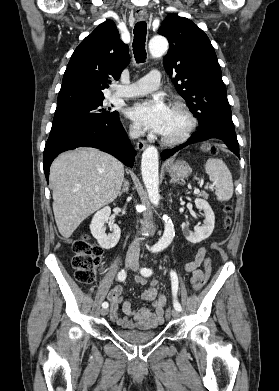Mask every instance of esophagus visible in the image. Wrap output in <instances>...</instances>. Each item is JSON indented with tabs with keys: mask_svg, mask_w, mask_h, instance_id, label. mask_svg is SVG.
Segmentation results:
<instances>
[{
	"mask_svg": "<svg viewBox=\"0 0 279 391\" xmlns=\"http://www.w3.org/2000/svg\"><path fill=\"white\" fill-rule=\"evenodd\" d=\"M144 18V16H140V19H143ZM147 146V144H146V142L145 141H143V140H139L138 142H137V148H138V150H140V151H142V150H144V148Z\"/></svg>",
	"mask_w": 279,
	"mask_h": 391,
	"instance_id": "esophagus-1",
	"label": "esophagus"
}]
</instances>
